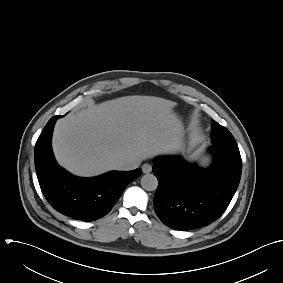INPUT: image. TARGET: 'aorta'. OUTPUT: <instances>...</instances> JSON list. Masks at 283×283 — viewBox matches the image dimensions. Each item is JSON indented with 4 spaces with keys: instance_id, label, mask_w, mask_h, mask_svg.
<instances>
[{
    "instance_id": "aorta-1",
    "label": "aorta",
    "mask_w": 283,
    "mask_h": 283,
    "mask_svg": "<svg viewBox=\"0 0 283 283\" xmlns=\"http://www.w3.org/2000/svg\"><path fill=\"white\" fill-rule=\"evenodd\" d=\"M141 186L146 191H154L158 186V180L153 174H145L141 178Z\"/></svg>"
}]
</instances>
